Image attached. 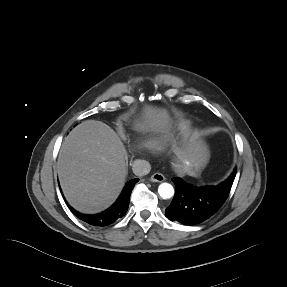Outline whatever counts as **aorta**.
<instances>
[{"label": "aorta", "instance_id": "1", "mask_svg": "<svg viewBox=\"0 0 287 287\" xmlns=\"http://www.w3.org/2000/svg\"><path fill=\"white\" fill-rule=\"evenodd\" d=\"M158 193L161 198L169 199L174 195V188L169 183H162L158 187Z\"/></svg>", "mask_w": 287, "mask_h": 287}]
</instances>
